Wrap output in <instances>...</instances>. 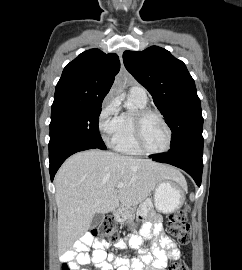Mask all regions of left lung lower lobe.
<instances>
[{"label": "left lung lower lobe", "instance_id": "left-lung-lower-lobe-1", "mask_svg": "<svg viewBox=\"0 0 242 270\" xmlns=\"http://www.w3.org/2000/svg\"><path fill=\"white\" fill-rule=\"evenodd\" d=\"M202 156L203 141H198L189 143L173 152L150 155V158L154 161L168 163L183 169L200 186L203 171Z\"/></svg>", "mask_w": 242, "mask_h": 270}]
</instances>
